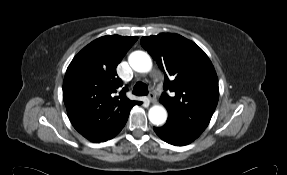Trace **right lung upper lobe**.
I'll return each instance as SVG.
<instances>
[{
  "label": "right lung upper lobe",
  "mask_w": 287,
  "mask_h": 175,
  "mask_svg": "<svg viewBox=\"0 0 287 175\" xmlns=\"http://www.w3.org/2000/svg\"><path fill=\"white\" fill-rule=\"evenodd\" d=\"M138 37L109 35L84 47L67 68L63 99L74 128L92 142L110 139L134 105L116 67Z\"/></svg>",
  "instance_id": "1"
}]
</instances>
